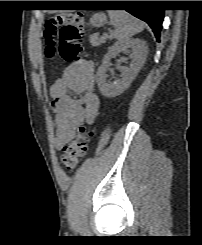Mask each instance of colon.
<instances>
[{
	"mask_svg": "<svg viewBox=\"0 0 202 245\" xmlns=\"http://www.w3.org/2000/svg\"><path fill=\"white\" fill-rule=\"evenodd\" d=\"M86 24L82 16L56 14L50 16L44 27L47 42L45 55L60 56L64 61L75 62L83 54L82 40ZM94 136L92 128L83 127L77 138L61 150V163L68 172H73L86 154Z\"/></svg>",
	"mask_w": 202,
	"mask_h": 245,
	"instance_id": "colon-1",
	"label": "colon"
}]
</instances>
